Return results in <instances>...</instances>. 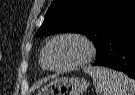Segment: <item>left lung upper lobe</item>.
Here are the masks:
<instances>
[{
    "label": "left lung upper lobe",
    "mask_w": 135,
    "mask_h": 95,
    "mask_svg": "<svg viewBox=\"0 0 135 95\" xmlns=\"http://www.w3.org/2000/svg\"><path fill=\"white\" fill-rule=\"evenodd\" d=\"M135 19V0H54L36 36L86 35L96 51L107 36Z\"/></svg>",
    "instance_id": "1"
}]
</instances>
